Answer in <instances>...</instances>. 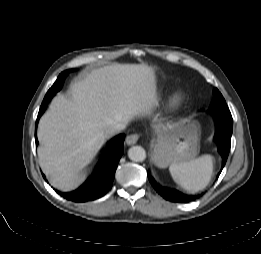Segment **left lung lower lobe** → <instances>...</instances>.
Instances as JSON below:
<instances>
[{"label":"left lung lower lobe","mask_w":261,"mask_h":254,"mask_svg":"<svg viewBox=\"0 0 261 254\" xmlns=\"http://www.w3.org/2000/svg\"><path fill=\"white\" fill-rule=\"evenodd\" d=\"M215 123V134L214 142L217 144L218 152L222 157V168L224 167L231 146V135L233 130V120L232 117L226 118L214 115ZM148 178L153 188L166 200L172 202L187 203L195 200L199 196L197 195H186L175 189H167L161 187L148 172Z\"/></svg>","instance_id":"0a47b994"}]
</instances>
